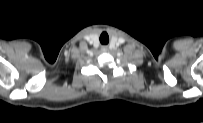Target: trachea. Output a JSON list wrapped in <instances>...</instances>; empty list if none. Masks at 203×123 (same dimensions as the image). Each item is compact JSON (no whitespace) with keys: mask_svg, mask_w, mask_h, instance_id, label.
<instances>
[{"mask_svg":"<svg viewBox=\"0 0 203 123\" xmlns=\"http://www.w3.org/2000/svg\"><path fill=\"white\" fill-rule=\"evenodd\" d=\"M104 36H105V38H104ZM100 41H101L102 44H107L108 41H109V38H108V36L104 33V34H102V36H101V38H100Z\"/></svg>","mask_w":203,"mask_h":123,"instance_id":"obj_1","label":"trachea"}]
</instances>
